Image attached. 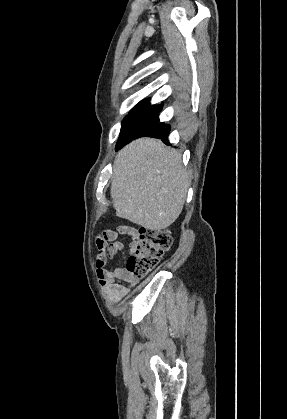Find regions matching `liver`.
<instances>
[{
  "instance_id": "obj_1",
  "label": "liver",
  "mask_w": 287,
  "mask_h": 419,
  "mask_svg": "<svg viewBox=\"0 0 287 419\" xmlns=\"http://www.w3.org/2000/svg\"><path fill=\"white\" fill-rule=\"evenodd\" d=\"M190 185L181 153L160 140L139 138L115 157L111 198L116 215L160 231L181 214Z\"/></svg>"
}]
</instances>
